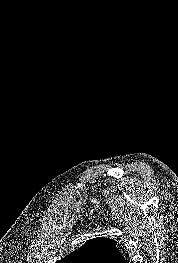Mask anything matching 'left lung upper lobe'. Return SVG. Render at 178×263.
I'll use <instances>...</instances> for the list:
<instances>
[{
	"instance_id": "obj_1",
	"label": "left lung upper lobe",
	"mask_w": 178,
	"mask_h": 263,
	"mask_svg": "<svg viewBox=\"0 0 178 263\" xmlns=\"http://www.w3.org/2000/svg\"><path fill=\"white\" fill-rule=\"evenodd\" d=\"M116 243L109 238L97 237L56 263H110L120 255Z\"/></svg>"
}]
</instances>
